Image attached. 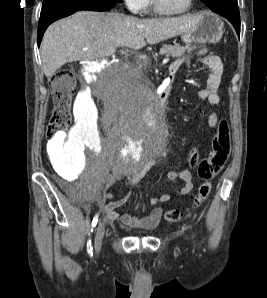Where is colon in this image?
<instances>
[{
  "label": "colon",
  "instance_id": "1",
  "mask_svg": "<svg viewBox=\"0 0 267 298\" xmlns=\"http://www.w3.org/2000/svg\"><path fill=\"white\" fill-rule=\"evenodd\" d=\"M51 90L54 107L48 123V137L54 141L57 136L65 131L71 124V102L75 90V77L72 71L61 69L51 79ZM231 150V135L226 121L221 120L218 131L211 143L208 156L200 157L199 153L192 149L188 161L195 168L203 182L199 186L192 203V208H199L207 199L212 188V179L224 168ZM184 214L177 209L165 212V220L177 222Z\"/></svg>",
  "mask_w": 267,
  "mask_h": 298
}]
</instances>
